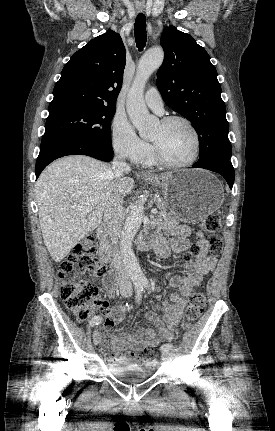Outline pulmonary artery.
<instances>
[{"label":"pulmonary artery","mask_w":275,"mask_h":431,"mask_svg":"<svg viewBox=\"0 0 275 431\" xmlns=\"http://www.w3.org/2000/svg\"><path fill=\"white\" fill-rule=\"evenodd\" d=\"M145 102L149 108L158 114L163 113V100L159 91L152 87L145 94Z\"/></svg>","instance_id":"e3ab8cb5"}]
</instances>
